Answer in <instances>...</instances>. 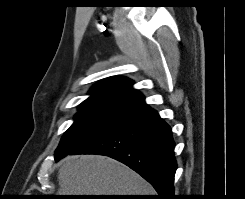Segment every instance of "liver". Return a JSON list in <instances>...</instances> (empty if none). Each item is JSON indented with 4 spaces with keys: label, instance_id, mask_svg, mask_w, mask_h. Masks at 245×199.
I'll return each instance as SVG.
<instances>
[{
    "label": "liver",
    "instance_id": "1",
    "mask_svg": "<svg viewBox=\"0 0 245 199\" xmlns=\"http://www.w3.org/2000/svg\"><path fill=\"white\" fill-rule=\"evenodd\" d=\"M60 195H154L153 187L122 163L100 155L68 156L58 173Z\"/></svg>",
    "mask_w": 245,
    "mask_h": 199
}]
</instances>
